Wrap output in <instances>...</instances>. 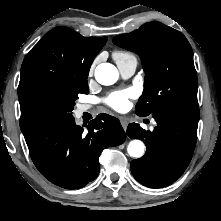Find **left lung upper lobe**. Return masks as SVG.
<instances>
[{
  "instance_id": "5c2ea615",
  "label": "left lung upper lobe",
  "mask_w": 221,
  "mask_h": 221,
  "mask_svg": "<svg viewBox=\"0 0 221 221\" xmlns=\"http://www.w3.org/2000/svg\"><path fill=\"white\" fill-rule=\"evenodd\" d=\"M112 41L141 58L145 81L143 95L136 104L137 115L159 110L199 119L193 51L182 33L160 22H150Z\"/></svg>"
}]
</instances>
